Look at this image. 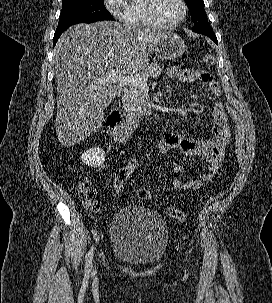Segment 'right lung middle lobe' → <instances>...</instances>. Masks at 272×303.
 I'll use <instances>...</instances> for the list:
<instances>
[{
	"mask_svg": "<svg viewBox=\"0 0 272 303\" xmlns=\"http://www.w3.org/2000/svg\"><path fill=\"white\" fill-rule=\"evenodd\" d=\"M113 20L104 0H62V10L55 33L63 32L77 23Z\"/></svg>",
	"mask_w": 272,
	"mask_h": 303,
	"instance_id": "obj_1",
	"label": "right lung middle lobe"
}]
</instances>
